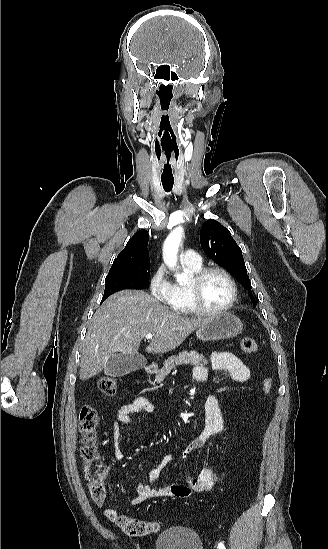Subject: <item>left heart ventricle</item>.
<instances>
[{
    "instance_id": "b2bd125f",
    "label": "left heart ventricle",
    "mask_w": 328,
    "mask_h": 549,
    "mask_svg": "<svg viewBox=\"0 0 328 549\" xmlns=\"http://www.w3.org/2000/svg\"><path fill=\"white\" fill-rule=\"evenodd\" d=\"M232 296V287L225 275L218 271L210 272L200 285L201 305L208 309H219L226 305Z\"/></svg>"
}]
</instances>
